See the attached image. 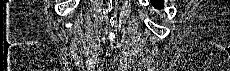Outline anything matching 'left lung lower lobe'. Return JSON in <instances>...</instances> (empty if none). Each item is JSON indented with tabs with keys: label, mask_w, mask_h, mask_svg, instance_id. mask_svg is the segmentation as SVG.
Segmentation results:
<instances>
[{
	"label": "left lung lower lobe",
	"mask_w": 230,
	"mask_h": 71,
	"mask_svg": "<svg viewBox=\"0 0 230 71\" xmlns=\"http://www.w3.org/2000/svg\"><path fill=\"white\" fill-rule=\"evenodd\" d=\"M150 2L156 9H161L164 5L163 0H150Z\"/></svg>",
	"instance_id": "obj_1"
}]
</instances>
